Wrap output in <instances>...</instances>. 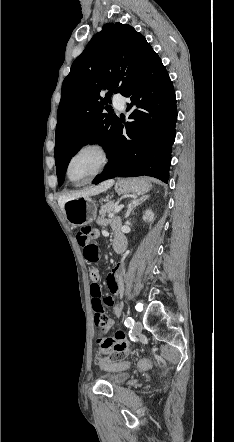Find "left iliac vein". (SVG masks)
Instances as JSON below:
<instances>
[{
  "instance_id": "1",
  "label": "left iliac vein",
  "mask_w": 234,
  "mask_h": 442,
  "mask_svg": "<svg viewBox=\"0 0 234 442\" xmlns=\"http://www.w3.org/2000/svg\"><path fill=\"white\" fill-rule=\"evenodd\" d=\"M142 328H143L142 323L140 321H136L133 326V331H134V333L137 334V333L141 332Z\"/></svg>"
}]
</instances>
